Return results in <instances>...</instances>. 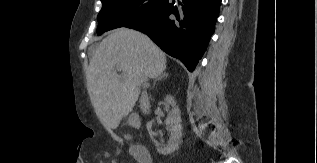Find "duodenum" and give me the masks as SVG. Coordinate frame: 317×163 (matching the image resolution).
<instances>
[{"mask_svg":"<svg viewBox=\"0 0 317 163\" xmlns=\"http://www.w3.org/2000/svg\"><path fill=\"white\" fill-rule=\"evenodd\" d=\"M129 122L135 128H138L140 126V119L137 115H131L129 117ZM134 148L136 150V153L140 156H145L148 153L147 148L143 145H135Z\"/></svg>","mask_w":317,"mask_h":163,"instance_id":"duodenum-1","label":"duodenum"}]
</instances>
